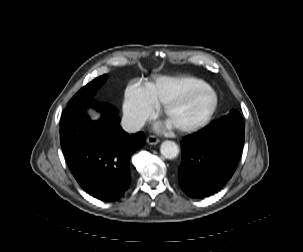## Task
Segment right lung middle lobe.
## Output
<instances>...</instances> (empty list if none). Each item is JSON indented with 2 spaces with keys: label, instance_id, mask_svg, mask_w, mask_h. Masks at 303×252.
Segmentation results:
<instances>
[{
  "label": "right lung middle lobe",
  "instance_id": "obj_1",
  "mask_svg": "<svg viewBox=\"0 0 303 252\" xmlns=\"http://www.w3.org/2000/svg\"><path fill=\"white\" fill-rule=\"evenodd\" d=\"M107 75L100 76L79 90L68 102L67 107L85 103L92 99L96 90L106 81Z\"/></svg>",
  "mask_w": 303,
  "mask_h": 252
}]
</instances>
